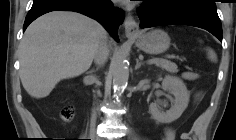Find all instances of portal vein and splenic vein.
<instances>
[{"label":"portal vein and splenic vein","instance_id":"18ae733b","mask_svg":"<svg viewBox=\"0 0 236 140\" xmlns=\"http://www.w3.org/2000/svg\"><path fill=\"white\" fill-rule=\"evenodd\" d=\"M159 60H160V59H158V58H153V59L148 60V63H149V64H153V63L158 62Z\"/></svg>","mask_w":236,"mask_h":140}]
</instances>
